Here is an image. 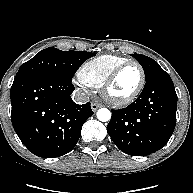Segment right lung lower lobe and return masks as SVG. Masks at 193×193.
Wrapping results in <instances>:
<instances>
[{
  "label": "right lung lower lobe",
  "instance_id": "right-lung-lower-lobe-1",
  "mask_svg": "<svg viewBox=\"0 0 193 193\" xmlns=\"http://www.w3.org/2000/svg\"><path fill=\"white\" fill-rule=\"evenodd\" d=\"M71 81L50 75L15 78L11 87V120L22 143L43 158L62 156L77 144L90 103L71 99Z\"/></svg>",
  "mask_w": 193,
  "mask_h": 193
}]
</instances>
